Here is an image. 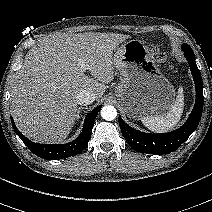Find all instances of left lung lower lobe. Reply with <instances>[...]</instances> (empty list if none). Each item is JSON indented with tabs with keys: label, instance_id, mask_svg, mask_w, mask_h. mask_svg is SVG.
I'll list each match as a JSON object with an SVG mask.
<instances>
[{
	"label": "left lung lower lobe",
	"instance_id": "left-lung-lower-lobe-1",
	"mask_svg": "<svg viewBox=\"0 0 212 212\" xmlns=\"http://www.w3.org/2000/svg\"><path fill=\"white\" fill-rule=\"evenodd\" d=\"M184 56L190 65L196 89V101L189 118L184 125L177 130L168 133L150 134L139 132L131 128L121 119V117H119L121 132L127 143L134 150L141 153L155 155L173 152L178 149L197 128L201 119L204 103L203 82L200 71L195 62L194 53L184 52Z\"/></svg>",
	"mask_w": 212,
	"mask_h": 212
}]
</instances>
